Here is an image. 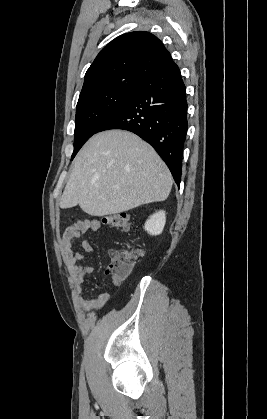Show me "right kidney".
I'll return each instance as SVG.
<instances>
[{"label": "right kidney", "mask_w": 267, "mask_h": 419, "mask_svg": "<svg viewBox=\"0 0 267 419\" xmlns=\"http://www.w3.org/2000/svg\"><path fill=\"white\" fill-rule=\"evenodd\" d=\"M165 223V211L160 210L149 217L144 228L150 235H159L162 233Z\"/></svg>", "instance_id": "right-kidney-1"}]
</instances>
